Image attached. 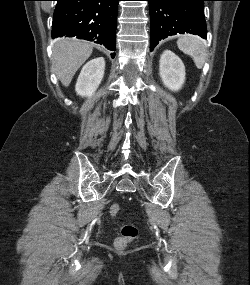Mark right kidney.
<instances>
[{"label":"right kidney","instance_id":"1","mask_svg":"<svg viewBox=\"0 0 250 285\" xmlns=\"http://www.w3.org/2000/svg\"><path fill=\"white\" fill-rule=\"evenodd\" d=\"M105 70V60L98 57L87 62L77 79L75 90L82 97H90L101 83Z\"/></svg>","mask_w":250,"mask_h":285}]
</instances>
